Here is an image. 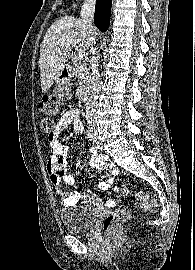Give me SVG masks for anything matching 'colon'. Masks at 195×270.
Listing matches in <instances>:
<instances>
[{"mask_svg": "<svg viewBox=\"0 0 195 270\" xmlns=\"http://www.w3.org/2000/svg\"><path fill=\"white\" fill-rule=\"evenodd\" d=\"M67 96V92L63 90L56 91L53 94L46 95L39 105L40 111L46 115L41 122L40 127L43 133L52 135L55 130L54 117L57 115L61 100ZM119 191L125 195H135L140 199V209L146 212H154L158 209V202L153 198H149L147 195H143L141 191L128 186H121ZM131 213L130 208H121L105 217L102 223V229L104 232H110L115 225L123 218L129 216Z\"/></svg>", "mask_w": 195, "mask_h": 270, "instance_id": "5ec220e1", "label": "colon"}]
</instances>
